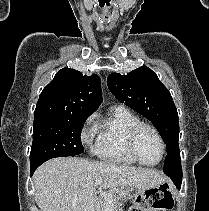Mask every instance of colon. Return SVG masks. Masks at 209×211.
<instances>
[{"label": "colon", "instance_id": "5ec220e1", "mask_svg": "<svg viewBox=\"0 0 209 211\" xmlns=\"http://www.w3.org/2000/svg\"><path fill=\"white\" fill-rule=\"evenodd\" d=\"M171 206V193L168 186L149 190L138 196L130 211L163 210Z\"/></svg>", "mask_w": 209, "mask_h": 211}]
</instances>
